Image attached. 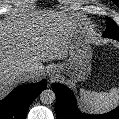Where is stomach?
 <instances>
[{"label":"stomach","instance_id":"0dacf381","mask_svg":"<svg viewBox=\"0 0 119 119\" xmlns=\"http://www.w3.org/2000/svg\"><path fill=\"white\" fill-rule=\"evenodd\" d=\"M79 32V33H78ZM91 48L82 33L78 30L71 37L69 59L56 68L68 76L72 81L84 80L90 72Z\"/></svg>","mask_w":119,"mask_h":119}]
</instances>
